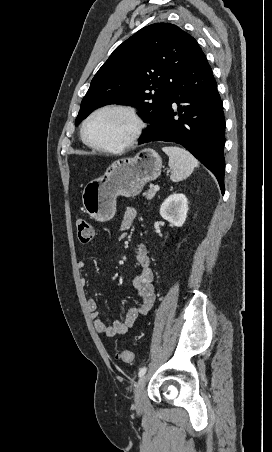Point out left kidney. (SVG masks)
Masks as SVG:
<instances>
[{"label":"left kidney","instance_id":"5707ae66","mask_svg":"<svg viewBox=\"0 0 272 452\" xmlns=\"http://www.w3.org/2000/svg\"><path fill=\"white\" fill-rule=\"evenodd\" d=\"M188 209L186 196L182 193H173L162 203L160 215L172 225L182 227L186 221Z\"/></svg>","mask_w":272,"mask_h":452}]
</instances>
